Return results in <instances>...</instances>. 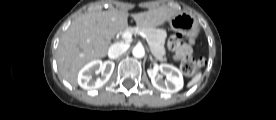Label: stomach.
I'll use <instances>...</instances> for the list:
<instances>
[{"mask_svg":"<svg viewBox=\"0 0 276 120\" xmlns=\"http://www.w3.org/2000/svg\"><path fill=\"white\" fill-rule=\"evenodd\" d=\"M169 23L174 31L182 34H194L199 30L196 19L187 12H179L169 20Z\"/></svg>","mask_w":276,"mask_h":120,"instance_id":"stomach-1","label":"stomach"}]
</instances>
